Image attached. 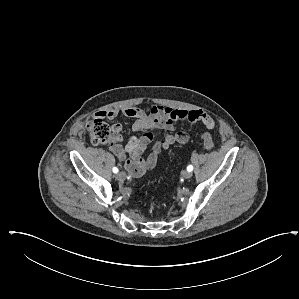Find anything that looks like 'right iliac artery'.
Wrapping results in <instances>:
<instances>
[{
	"mask_svg": "<svg viewBox=\"0 0 299 299\" xmlns=\"http://www.w3.org/2000/svg\"><path fill=\"white\" fill-rule=\"evenodd\" d=\"M112 170H113L114 173H118V171H119L117 167H113Z\"/></svg>",
	"mask_w": 299,
	"mask_h": 299,
	"instance_id": "obj_1",
	"label": "right iliac artery"
}]
</instances>
